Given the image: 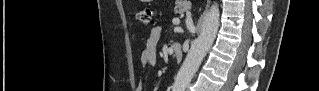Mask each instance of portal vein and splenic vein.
Instances as JSON below:
<instances>
[{"label": "portal vein and splenic vein", "instance_id": "1", "mask_svg": "<svg viewBox=\"0 0 319 91\" xmlns=\"http://www.w3.org/2000/svg\"><path fill=\"white\" fill-rule=\"evenodd\" d=\"M173 23H174V24H179V23H180V20H179L178 18L173 19Z\"/></svg>", "mask_w": 319, "mask_h": 91}]
</instances>
